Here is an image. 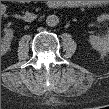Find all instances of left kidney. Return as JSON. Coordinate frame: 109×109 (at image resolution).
<instances>
[{
    "instance_id": "obj_1",
    "label": "left kidney",
    "mask_w": 109,
    "mask_h": 109,
    "mask_svg": "<svg viewBox=\"0 0 109 109\" xmlns=\"http://www.w3.org/2000/svg\"><path fill=\"white\" fill-rule=\"evenodd\" d=\"M97 21L98 22L109 21V15L102 14L97 17ZM89 42L92 45V47L97 51L106 52L109 49V35L108 34L102 37L91 35L89 37Z\"/></svg>"
}]
</instances>
